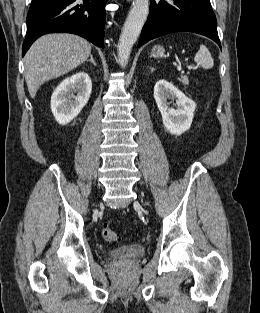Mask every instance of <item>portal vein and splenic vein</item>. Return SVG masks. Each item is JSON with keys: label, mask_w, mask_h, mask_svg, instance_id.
<instances>
[{"label": "portal vein and splenic vein", "mask_w": 260, "mask_h": 313, "mask_svg": "<svg viewBox=\"0 0 260 313\" xmlns=\"http://www.w3.org/2000/svg\"><path fill=\"white\" fill-rule=\"evenodd\" d=\"M194 67L193 66H188V69L189 70H191V69H193ZM179 71L181 72V73H184L181 69H179Z\"/></svg>", "instance_id": "portal-vein-and-splenic-vein-1"}]
</instances>
